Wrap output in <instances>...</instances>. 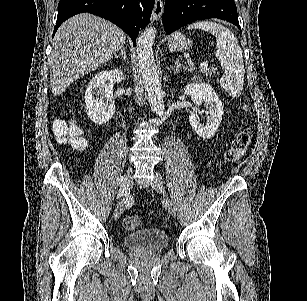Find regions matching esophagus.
Segmentation results:
<instances>
[{
    "instance_id": "1",
    "label": "esophagus",
    "mask_w": 307,
    "mask_h": 301,
    "mask_svg": "<svg viewBox=\"0 0 307 301\" xmlns=\"http://www.w3.org/2000/svg\"><path fill=\"white\" fill-rule=\"evenodd\" d=\"M163 14V2L162 0H155L153 12L151 14V22H157Z\"/></svg>"
}]
</instances>
